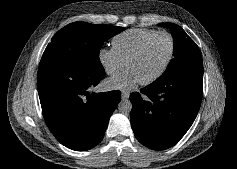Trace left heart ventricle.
I'll use <instances>...</instances> for the list:
<instances>
[{"instance_id":"obj_1","label":"left heart ventricle","mask_w":237,"mask_h":169,"mask_svg":"<svg viewBox=\"0 0 237 169\" xmlns=\"http://www.w3.org/2000/svg\"><path fill=\"white\" fill-rule=\"evenodd\" d=\"M170 52V40L165 35L154 38L143 53L129 65L139 81L146 80L156 74L166 62Z\"/></svg>"}]
</instances>
